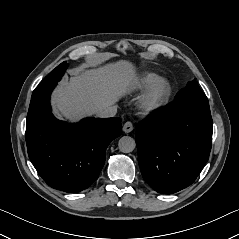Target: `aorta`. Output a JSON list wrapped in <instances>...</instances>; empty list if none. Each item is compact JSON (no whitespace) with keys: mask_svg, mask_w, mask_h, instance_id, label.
Here are the masks:
<instances>
[{"mask_svg":"<svg viewBox=\"0 0 239 239\" xmlns=\"http://www.w3.org/2000/svg\"><path fill=\"white\" fill-rule=\"evenodd\" d=\"M136 147L135 140L130 136H123L119 139L118 148L123 153H130Z\"/></svg>","mask_w":239,"mask_h":239,"instance_id":"aorta-1","label":"aorta"}]
</instances>
